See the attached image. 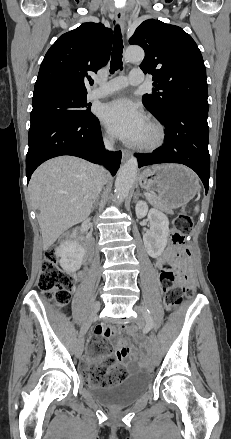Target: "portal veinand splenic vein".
<instances>
[{"label":"portal vein and splenic vein","mask_w":231,"mask_h":439,"mask_svg":"<svg viewBox=\"0 0 231 439\" xmlns=\"http://www.w3.org/2000/svg\"><path fill=\"white\" fill-rule=\"evenodd\" d=\"M145 196L147 197V198H152L153 196L151 195V194H149V193H145Z\"/></svg>","instance_id":"1"}]
</instances>
